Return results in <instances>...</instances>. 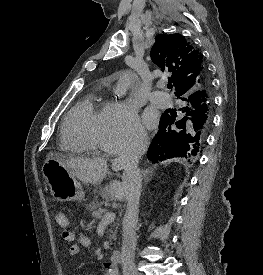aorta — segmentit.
Returning <instances> with one entry per match:
<instances>
[{
	"label": "aorta",
	"mask_w": 263,
	"mask_h": 275,
	"mask_svg": "<svg viewBox=\"0 0 263 275\" xmlns=\"http://www.w3.org/2000/svg\"><path fill=\"white\" fill-rule=\"evenodd\" d=\"M132 78H133V75L131 73H128V72L122 73V75L120 76L116 84L114 93L117 94L119 97L126 95V92L131 85Z\"/></svg>",
	"instance_id": "1"
}]
</instances>
